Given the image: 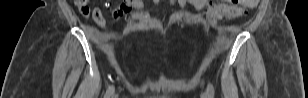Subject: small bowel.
<instances>
[{"label":"small bowel","mask_w":308,"mask_h":98,"mask_svg":"<svg viewBox=\"0 0 308 98\" xmlns=\"http://www.w3.org/2000/svg\"><path fill=\"white\" fill-rule=\"evenodd\" d=\"M154 3L157 4L158 0H154ZM169 3L176 10H183L188 4L191 5L192 7H194L195 9H202V8H204V6L206 5L207 2H206V0H170ZM254 6H256V5H254ZM254 6H252V7H254ZM121 7H122V9H124V10L127 9L128 11L131 8H133V9H143L144 3L141 0H131V1H126L125 4H123ZM252 7H248V8H252ZM114 16L119 17V16H116L115 13H114ZM92 17H93L94 22L97 24V26L101 30H103V31L107 30L106 21H105V18L103 17V14H102L99 6H95L93 8ZM133 17L138 19L142 16H133Z\"/></svg>","instance_id":"obj_1"}]
</instances>
